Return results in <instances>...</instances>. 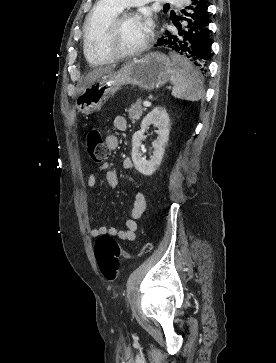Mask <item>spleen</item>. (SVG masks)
Segmentation results:
<instances>
[{
    "instance_id": "obj_1",
    "label": "spleen",
    "mask_w": 276,
    "mask_h": 363,
    "mask_svg": "<svg viewBox=\"0 0 276 363\" xmlns=\"http://www.w3.org/2000/svg\"><path fill=\"white\" fill-rule=\"evenodd\" d=\"M173 69L172 96L187 101H199L204 94L203 81L199 72L185 58L171 54Z\"/></svg>"
}]
</instances>
